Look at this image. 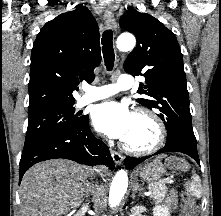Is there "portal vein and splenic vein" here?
Masks as SVG:
<instances>
[{
    "label": "portal vein and splenic vein",
    "instance_id": "obj_1",
    "mask_svg": "<svg viewBox=\"0 0 221 216\" xmlns=\"http://www.w3.org/2000/svg\"><path fill=\"white\" fill-rule=\"evenodd\" d=\"M150 194H151V192L146 193V195H150Z\"/></svg>",
    "mask_w": 221,
    "mask_h": 216
}]
</instances>
